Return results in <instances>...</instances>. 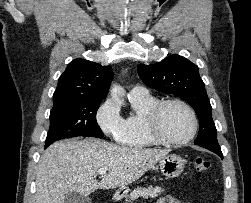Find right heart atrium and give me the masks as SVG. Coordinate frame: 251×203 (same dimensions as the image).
<instances>
[{
    "instance_id": "right-heart-atrium-1",
    "label": "right heart atrium",
    "mask_w": 251,
    "mask_h": 203,
    "mask_svg": "<svg viewBox=\"0 0 251 203\" xmlns=\"http://www.w3.org/2000/svg\"><path fill=\"white\" fill-rule=\"evenodd\" d=\"M96 121L107 136L117 137L123 129L124 119L119 113L117 103L109 98L98 109Z\"/></svg>"
}]
</instances>
